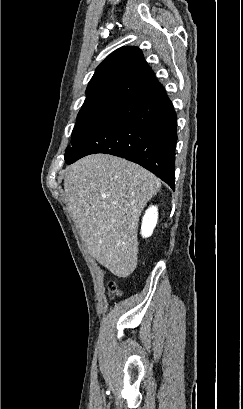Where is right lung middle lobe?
I'll list each match as a JSON object with an SVG mask.
<instances>
[{"instance_id": "right-lung-middle-lobe-1", "label": "right lung middle lobe", "mask_w": 243, "mask_h": 409, "mask_svg": "<svg viewBox=\"0 0 243 409\" xmlns=\"http://www.w3.org/2000/svg\"><path fill=\"white\" fill-rule=\"evenodd\" d=\"M124 100L104 99L84 102L77 116V121L72 132L71 145L65 154V159L86 138L102 126L118 109Z\"/></svg>"}]
</instances>
